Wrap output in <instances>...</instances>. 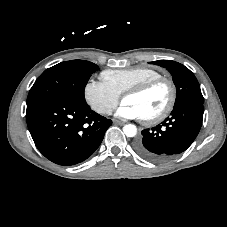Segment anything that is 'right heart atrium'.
I'll return each mask as SVG.
<instances>
[{"label":"right heart atrium","instance_id":"1","mask_svg":"<svg viewBox=\"0 0 227 227\" xmlns=\"http://www.w3.org/2000/svg\"><path fill=\"white\" fill-rule=\"evenodd\" d=\"M88 105L98 114L109 115L119 102V95L103 81L89 80L84 87Z\"/></svg>","mask_w":227,"mask_h":227}]
</instances>
